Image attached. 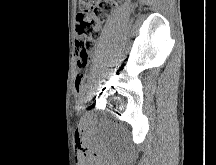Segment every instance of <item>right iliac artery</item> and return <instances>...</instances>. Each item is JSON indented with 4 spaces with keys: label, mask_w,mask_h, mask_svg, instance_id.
<instances>
[{
    "label": "right iliac artery",
    "mask_w": 216,
    "mask_h": 165,
    "mask_svg": "<svg viewBox=\"0 0 216 165\" xmlns=\"http://www.w3.org/2000/svg\"><path fill=\"white\" fill-rule=\"evenodd\" d=\"M91 81L89 80L86 84V96L81 99V104H86L87 100L91 97Z\"/></svg>",
    "instance_id": "82829eb1"
}]
</instances>
